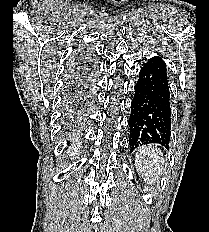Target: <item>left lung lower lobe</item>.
<instances>
[{
	"mask_svg": "<svg viewBox=\"0 0 209 232\" xmlns=\"http://www.w3.org/2000/svg\"><path fill=\"white\" fill-rule=\"evenodd\" d=\"M128 124L131 150L149 143L168 147L171 137L170 92L166 64L157 56L148 60L139 72Z\"/></svg>",
	"mask_w": 209,
	"mask_h": 232,
	"instance_id": "0a47b994",
	"label": "left lung lower lobe"
}]
</instances>
